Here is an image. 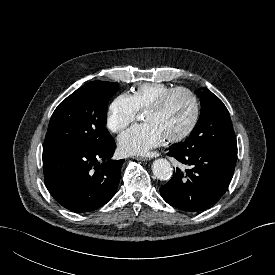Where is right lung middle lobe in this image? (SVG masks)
Instances as JSON below:
<instances>
[{"label":"right lung middle lobe","instance_id":"dd1d6c3e","mask_svg":"<svg viewBox=\"0 0 275 275\" xmlns=\"http://www.w3.org/2000/svg\"><path fill=\"white\" fill-rule=\"evenodd\" d=\"M118 89L117 83L92 81L64 99L51 117L43 148L90 149L108 143L107 107Z\"/></svg>","mask_w":275,"mask_h":275}]
</instances>
